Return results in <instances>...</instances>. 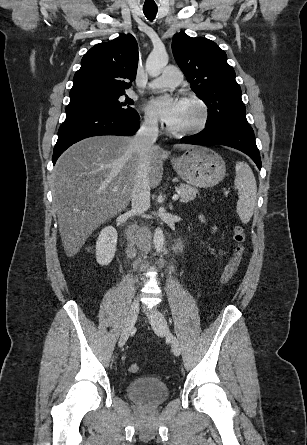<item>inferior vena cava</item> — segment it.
I'll use <instances>...</instances> for the list:
<instances>
[{
  "label": "inferior vena cava",
  "instance_id": "1",
  "mask_svg": "<svg viewBox=\"0 0 307 445\" xmlns=\"http://www.w3.org/2000/svg\"><path fill=\"white\" fill-rule=\"evenodd\" d=\"M158 136V120L145 116L138 132L132 138L129 148L138 156V166L134 178V188L132 192V210L141 214L150 208V180H149V150L156 142Z\"/></svg>",
  "mask_w": 307,
  "mask_h": 445
}]
</instances>
